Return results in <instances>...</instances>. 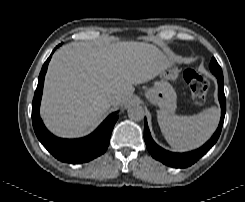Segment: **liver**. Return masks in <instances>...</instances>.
Returning <instances> with one entry per match:
<instances>
[{
  "label": "liver",
  "mask_w": 245,
  "mask_h": 202,
  "mask_svg": "<svg viewBox=\"0 0 245 202\" xmlns=\"http://www.w3.org/2000/svg\"><path fill=\"white\" fill-rule=\"evenodd\" d=\"M172 65L156 46L135 41L72 43L55 52L45 78L41 117L55 135L80 137L110 108L127 102L134 86Z\"/></svg>",
  "instance_id": "liver-1"
}]
</instances>
